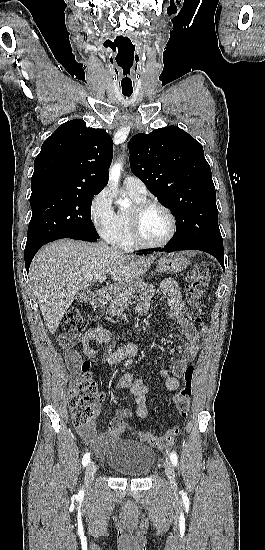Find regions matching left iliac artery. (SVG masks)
Here are the masks:
<instances>
[{
	"mask_svg": "<svg viewBox=\"0 0 265 550\" xmlns=\"http://www.w3.org/2000/svg\"><path fill=\"white\" fill-rule=\"evenodd\" d=\"M170 460H171V462H172V464H173L174 466L177 465L178 457H177V455H176L175 452H172V453L170 454Z\"/></svg>",
	"mask_w": 265,
	"mask_h": 550,
	"instance_id": "1",
	"label": "left iliac artery"
}]
</instances>
